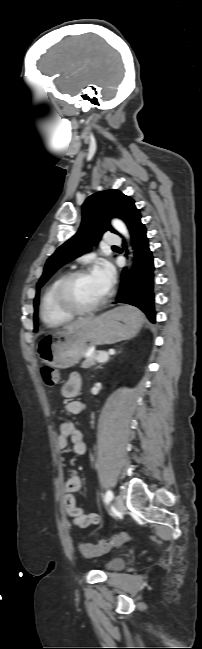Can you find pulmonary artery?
<instances>
[{
	"mask_svg": "<svg viewBox=\"0 0 202 649\" xmlns=\"http://www.w3.org/2000/svg\"><path fill=\"white\" fill-rule=\"evenodd\" d=\"M105 243L111 247L117 246L121 243V238L114 234H108L105 237Z\"/></svg>",
	"mask_w": 202,
	"mask_h": 649,
	"instance_id": "obj_1",
	"label": "pulmonary artery"
}]
</instances>
